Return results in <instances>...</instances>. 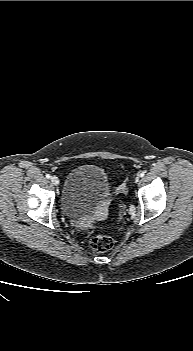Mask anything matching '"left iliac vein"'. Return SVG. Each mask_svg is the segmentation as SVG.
I'll use <instances>...</instances> for the list:
<instances>
[{
    "label": "left iliac vein",
    "mask_w": 193,
    "mask_h": 351,
    "mask_svg": "<svg viewBox=\"0 0 193 351\" xmlns=\"http://www.w3.org/2000/svg\"><path fill=\"white\" fill-rule=\"evenodd\" d=\"M139 182V177L137 176L136 178H135V183H138Z\"/></svg>",
    "instance_id": "1"
}]
</instances>
